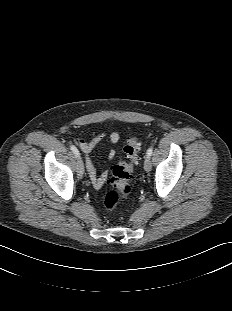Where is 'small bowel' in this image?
Segmentation results:
<instances>
[{"instance_id":"c3829d8e","label":"small bowel","mask_w":232,"mask_h":311,"mask_svg":"<svg viewBox=\"0 0 232 311\" xmlns=\"http://www.w3.org/2000/svg\"><path fill=\"white\" fill-rule=\"evenodd\" d=\"M105 137L104 133H100L96 136H94L91 140L85 141L83 139L78 140V145L81 148V150L86 154V167L88 169L90 179L93 183V185L96 188H101L107 179V173H103L100 177L97 176L96 168L92 162V160L89 157V153L102 141V139ZM120 134L118 132H112L108 138V142L110 144H115L119 141ZM115 156V151H111L108 155V159L111 160Z\"/></svg>"}]
</instances>
